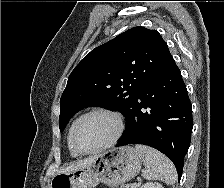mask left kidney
Wrapping results in <instances>:
<instances>
[{
    "label": "left kidney",
    "mask_w": 224,
    "mask_h": 188,
    "mask_svg": "<svg viewBox=\"0 0 224 188\" xmlns=\"http://www.w3.org/2000/svg\"><path fill=\"white\" fill-rule=\"evenodd\" d=\"M140 188H164L160 183L147 182L143 184Z\"/></svg>",
    "instance_id": "left-kidney-1"
}]
</instances>
